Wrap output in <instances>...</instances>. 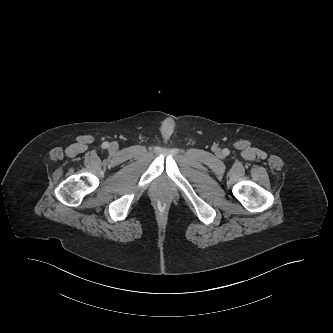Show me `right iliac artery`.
I'll use <instances>...</instances> for the list:
<instances>
[{"label": "right iliac artery", "mask_w": 333, "mask_h": 333, "mask_svg": "<svg viewBox=\"0 0 333 333\" xmlns=\"http://www.w3.org/2000/svg\"><path fill=\"white\" fill-rule=\"evenodd\" d=\"M108 147H109V143H108V142H104V143L102 144V148L106 149V148H108Z\"/></svg>", "instance_id": "obj_1"}]
</instances>
